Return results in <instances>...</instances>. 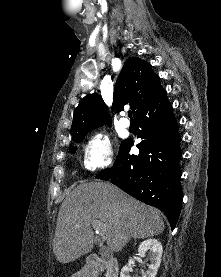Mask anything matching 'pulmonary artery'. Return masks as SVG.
Returning a JSON list of instances; mask_svg holds the SVG:
<instances>
[{"label":"pulmonary artery","mask_w":221,"mask_h":277,"mask_svg":"<svg viewBox=\"0 0 221 277\" xmlns=\"http://www.w3.org/2000/svg\"><path fill=\"white\" fill-rule=\"evenodd\" d=\"M123 116H124V114H123ZM120 125L124 128H129L130 127V122L126 117H121Z\"/></svg>","instance_id":"pulmonary-artery-1"}]
</instances>
